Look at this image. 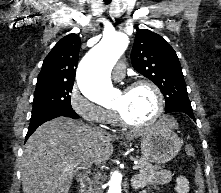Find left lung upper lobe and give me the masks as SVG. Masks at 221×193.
I'll use <instances>...</instances> for the list:
<instances>
[{
  "instance_id": "left-lung-upper-lobe-1",
  "label": "left lung upper lobe",
  "mask_w": 221,
  "mask_h": 193,
  "mask_svg": "<svg viewBox=\"0 0 221 193\" xmlns=\"http://www.w3.org/2000/svg\"><path fill=\"white\" fill-rule=\"evenodd\" d=\"M134 69L153 81L165 98V110L190 106L182 68L174 49L160 35L139 29L131 52Z\"/></svg>"
}]
</instances>
